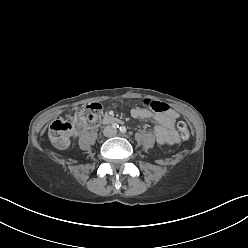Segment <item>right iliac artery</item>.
I'll list each match as a JSON object with an SVG mask.
<instances>
[{"label":"right iliac artery","mask_w":248,"mask_h":248,"mask_svg":"<svg viewBox=\"0 0 248 248\" xmlns=\"http://www.w3.org/2000/svg\"><path fill=\"white\" fill-rule=\"evenodd\" d=\"M119 127L118 124H113V128L117 129Z\"/></svg>","instance_id":"obj_1"}]
</instances>
